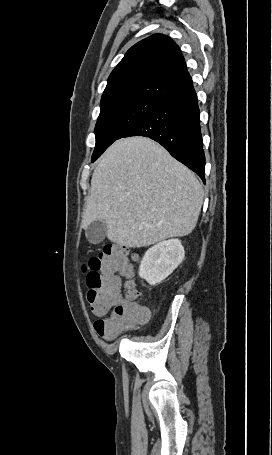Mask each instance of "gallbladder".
Listing matches in <instances>:
<instances>
[{
  "label": "gallbladder",
  "mask_w": 272,
  "mask_h": 455,
  "mask_svg": "<svg viewBox=\"0 0 272 455\" xmlns=\"http://www.w3.org/2000/svg\"><path fill=\"white\" fill-rule=\"evenodd\" d=\"M107 226L104 222L94 221L86 229L85 235L90 243L98 244L105 239Z\"/></svg>",
  "instance_id": "bac80fb5"
}]
</instances>
